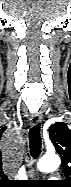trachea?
<instances>
[{
  "mask_svg": "<svg viewBox=\"0 0 71 187\" xmlns=\"http://www.w3.org/2000/svg\"><path fill=\"white\" fill-rule=\"evenodd\" d=\"M40 124L34 125L29 131V146L31 156L36 159L41 153Z\"/></svg>",
  "mask_w": 71,
  "mask_h": 187,
  "instance_id": "trachea-1",
  "label": "trachea"
}]
</instances>
